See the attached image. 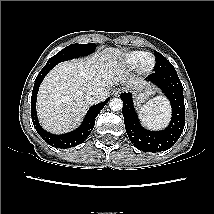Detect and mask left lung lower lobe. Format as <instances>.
I'll return each mask as SVG.
<instances>
[{
	"mask_svg": "<svg viewBox=\"0 0 214 214\" xmlns=\"http://www.w3.org/2000/svg\"><path fill=\"white\" fill-rule=\"evenodd\" d=\"M147 80L157 85L171 103L172 118L169 126L161 131H150L142 127L133 106L131 93L124 92L120 95L123 101L122 113L126 132L132 144L143 152H161L171 148L184 129L183 86L176 71H155Z\"/></svg>",
	"mask_w": 214,
	"mask_h": 214,
	"instance_id": "left-lung-lower-lobe-1",
	"label": "left lung lower lobe"
}]
</instances>
